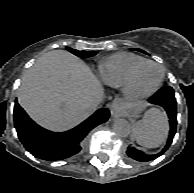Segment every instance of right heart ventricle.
<instances>
[{"mask_svg":"<svg viewBox=\"0 0 194 193\" xmlns=\"http://www.w3.org/2000/svg\"><path fill=\"white\" fill-rule=\"evenodd\" d=\"M145 58L129 52H118L104 58L98 67L100 79L115 88L123 87L131 70Z\"/></svg>","mask_w":194,"mask_h":193,"instance_id":"e07e8e85","label":"right heart ventricle"}]
</instances>
